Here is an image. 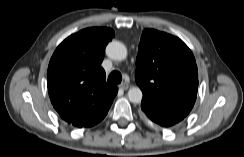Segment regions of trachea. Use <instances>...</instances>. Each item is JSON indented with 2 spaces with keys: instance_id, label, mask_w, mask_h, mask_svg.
Wrapping results in <instances>:
<instances>
[{
  "instance_id": "1",
  "label": "trachea",
  "mask_w": 244,
  "mask_h": 157,
  "mask_svg": "<svg viewBox=\"0 0 244 157\" xmlns=\"http://www.w3.org/2000/svg\"><path fill=\"white\" fill-rule=\"evenodd\" d=\"M122 81V75L119 71L114 70L108 76V82L111 84H119Z\"/></svg>"
}]
</instances>
